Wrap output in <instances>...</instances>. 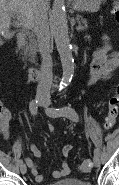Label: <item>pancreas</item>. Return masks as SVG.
Returning a JSON list of instances; mask_svg holds the SVG:
<instances>
[{
	"label": "pancreas",
	"instance_id": "pancreas-1",
	"mask_svg": "<svg viewBox=\"0 0 119 185\" xmlns=\"http://www.w3.org/2000/svg\"><path fill=\"white\" fill-rule=\"evenodd\" d=\"M77 21H78L77 30L81 31V30L87 29L88 26H87L86 20H84L81 16H78ZM27 49L30 52L31 60L34 61L35 56H36L37 45L33 39L30 40V43H29V46L27 47Z\"/></svg>",
	"mask_w": 119,
	"mask_h": 185
}]
</instances>
